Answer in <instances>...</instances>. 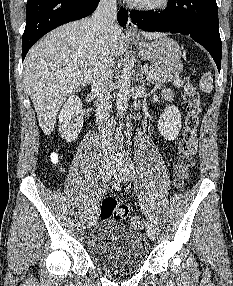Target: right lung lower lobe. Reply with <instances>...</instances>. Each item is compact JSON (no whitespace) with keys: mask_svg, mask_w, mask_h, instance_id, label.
I'll return each mask as SVG.
<instances>
[{"mask_svg":"<svg viewBox=\"0 0 233 286\" xmlns=\"http://www.w3.org/2000/svg\"><path fill=\"white\" fill-rule=\"evenodd\" d=\"M100 0H28L26 26L22 37V60L29 49L54 28L91 15ZM120 25L128 20V12L120 9L117 16Z\"/></svg>","mask_w":233,"mask_h":286,"instance_id":"right-lung-lower-lobe-1","label":"right lung lower lobe"}]
</instances>
